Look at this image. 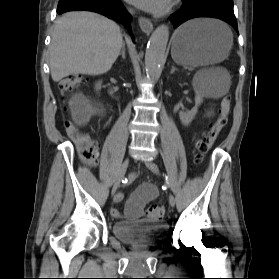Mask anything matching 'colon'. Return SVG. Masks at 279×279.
I'll return each instance as SVG.
<instances>
[{
	"instance_id": "obj_1",
	"label": "colon",
	"mask_w": 279,
	"mask_h": 279,
	"mask_svg": "<svg viewBox=\"0 0 279 279\" xmlns=\"http://www.w3.org/2000/svg\"><path fill=\"white\" fill-rule=\"evenodd\" d=\"M86 83L87 78L80 75H73L62 79L59 83V88L62 93L69 94ZM231 100L230 94L222 99L218 115L199 139L197 143L198 156L196 159L198 164L203 162L205 156L214 145L219 133L226 126L231 109ZM66 128L68 133L76 140L80 159L86 164H94L98 157L97 143L89 136L81 133L72 122H67ZM146 214L149 218L158 220L164 217L165 209L161 206L152 205L147 208Z\"/></svg>"
}]
</instances>
